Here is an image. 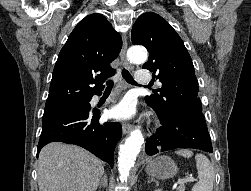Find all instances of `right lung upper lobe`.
Returning <instances> with one entry per match:
<instances>
[{
  "label": "right lung upper lobe",
  "mask_w": 251,
  "mask_h": 191,
  "mask_svg": "<svg viewBox=\"0 0 251 191\" xmlns=\"http://www.w3.org/2000/svg\"><path fill=\"white\" fill-rule=\"evenodd\" d=\"M121 47L120 34L103 15L85 17L59 53L45 109L90 100L101 93L104 80L114 73L110 63Z\"/></svg>",
  "instance_id": "1"
}]
</instances>
